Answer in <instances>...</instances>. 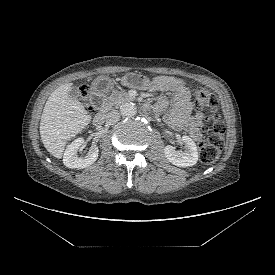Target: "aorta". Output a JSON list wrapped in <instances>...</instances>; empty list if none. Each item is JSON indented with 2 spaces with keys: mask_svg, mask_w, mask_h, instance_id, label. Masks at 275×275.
Wrapping results in <instances>:
<instances>
[{
  "mask_svg": "<svg viewBox=\"0 0 275 275\" xmlns=\"http://www.w3.org/2000/svg\"><path fill=\"white\" fill-rule=\"evenodd\" d=\"M120 112L124 117H133L137 113V108L133 103H124L120 107Z\"/></svg>",
  "mask_w": 275,
  "mask_h": 275,
  "instance_id": "1",
  "label": "aorta"
}]
</instances>
